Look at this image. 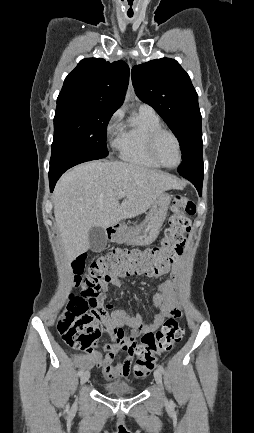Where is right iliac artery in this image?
<instances>
[{"label": "right iliac artery", "mask_w": 254, "mask_h": 433, "mask_svg": "<svg viewBox=\"0 0 254 433\" xmlns=\"http://www.w3.org/2000/svg\"><path fill=\"white\" fill-rule=\"evenodd\" d=\"M82 373H83V370L80 369V370L78 371V376H80Z\"/></svg>", "instance_id": "82829eb1"}]
</instances>
